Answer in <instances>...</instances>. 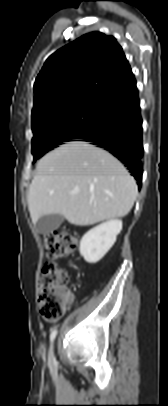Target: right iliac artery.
Segmentation results:
<instances>
[{"instance_id":"obj_1","label":"right iliac artery","mask_w":168,"mask_h":406,"mask_svg":"<svg viewBox=\"0 0 168 406\" xmlns=\"http://www.w3.org/2000/svg\"><path fill=\"white\" fill-rule=\"evenodd\" d=\"M56 335H57V330H56V329L52 330L51 335H50V341H51V342H53V340L55 339Z\"/></svg>"}]
</instances>
